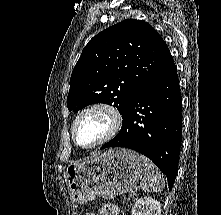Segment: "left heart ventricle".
Here are the masks:
<instances>
[{
  "label": "left heart ventricle",
  "mask_w": 221,
  "mask_h": 215,
  "mask_svg": "<svg viewBox=\"0 0 221 215\" xmlns=\"http://www.w3.org/2000/svg\"><path fill=\"white\" fill-rule=\"evenodd\" d=\"M110 128V119L108 115L100 110H94L86 113L76 126L77 141L88 146L102 138Z\"/></svg>",
  "instance_id": "1"
}]
</instances>
